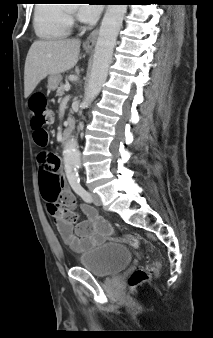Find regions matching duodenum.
I'll list each match as a JSON object with an SVG mask.
<instances>
[{
  "label": "duodenum",
  "instance_id": "410a0bca",
  "mask_svg": "<svg viewBox=\"0 0 213 338\" xmlns=\"http://www.w3.org/2000/svg\"><path fill=\"white\" fill-rule=\"evenodd\" d=\"M73 129H74V124L72 122H69L64 129L63 140L65 142L70 139Z\"/></svg>",
  "mask_w": 213,
  "mask_h": 338
}]
</instances>
